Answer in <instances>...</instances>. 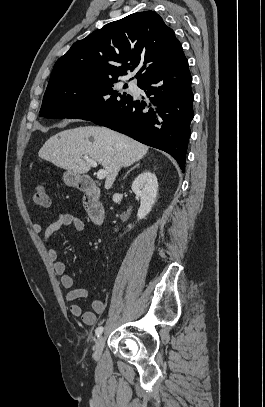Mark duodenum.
Listing matches in <instances>:
<instances>
[{
    "label": "duodenum",
    "mask_w": 265,
    "mask_h": 407,
    "mask_svg": "<svg viewBox=\"0 0 265 407\" xmlns=\"http://www.w3.org/2000/svg\"><path fill=\"white\" fill-rule=\"evenodd\" d=\"M80 189L84 192V206L94 224L100 225L105 220V209L100 201V190L94 180L83 178L79 182Z\"/></svg>",
    "instance_id": "obj_1"
}]
</instances>
